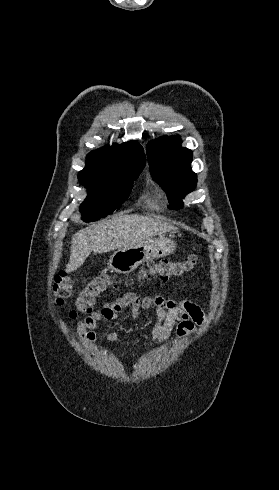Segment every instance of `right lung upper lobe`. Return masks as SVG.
<instances>
[{"mask_svg":"<svg viewBox=\"0 0 279 490\" xmlns=\"http://www.w3.org/2000/svg\"><path fill=\"white\" fill-rule=\"evenodd\" d=\"M146 163L142 146L137 141L105 146L89 153L81 176L103 178L125 169L144 168Z\"/></svg>","mask_w":279,"mask_h":490,"instance_id":"cb5924a9","label":"right lung upper lobe"}]
</instances>
